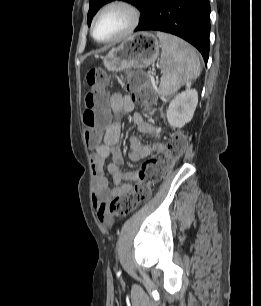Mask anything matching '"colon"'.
Masks as SVG:
<instances>
[{"label":"colon","mask_w":261,"mask_h":306,"mask_svg":"<svg viewBox=\"0 0 261 306\" xmlns=\"http://www.w3.org/2000/svg\"><path fill=\"white\" fill-rule=\"evenodd\" d=\"M86 80L89 90L85 97L83 122L88 142L95 145L108 124L105 107L109 78L101 68H91L87 72ZM127 90L131 93L132 100L140 105H149L154 102L155 93L147 77L139 71L128 72ZM186 145V136L177 133L162 150L145 160L137 171V182L133 190L116 196L109 204V214L112 217L126 216L140 203L148 200L152 186L161 181L167 171L183 155Z\"/></svg>","instance_id":"1"}]
</instances>
